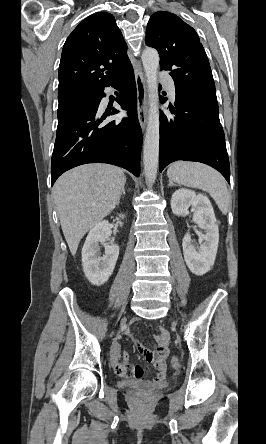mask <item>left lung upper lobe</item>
I'll return each instance as SVG.
<instances>
[{
  "instance_id": "obj_1",
  "label": "left lung upper lobe",
  "mask_w": 266,
  "mask_h": 444,
  "mask_svg": "<svg viewBox=\"0 0 266 444\" xmlns=\"http://www.w3.org/2000/svg\"><path fill=\"white\" fill-rule=\"evenodd\" d=\"M145 42L158 50L161 70L175 86L215 88L210 64L196 31L173 13L158 11L147 25Z\"/></svg>"
}]
</instances>
